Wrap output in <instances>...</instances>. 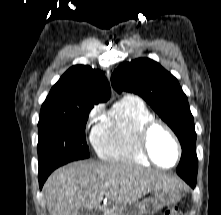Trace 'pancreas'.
<instances>
[{"instance_id": "1", "label": "pancreas", "mask_w": 221, "mask_h": 215, "mask_svg": "<svg viewBox=\"0 0 221 215\" xmlns=\"http://www.w3.org/2000/svg\"><path fill=\"white\" fill-rule=\"evenodd\" d=\"M109 215H121L119 208H118V207H115L114 209H112V210L110 211Z\"/></svg>"}]
</instances>
